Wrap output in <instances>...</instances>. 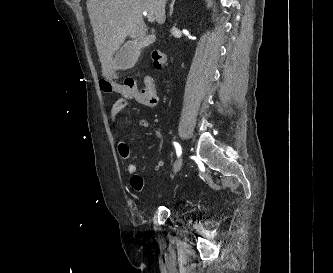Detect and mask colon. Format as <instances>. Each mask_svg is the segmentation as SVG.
Instances as JSON below:
<instances>
[{
    "label": "colon",
    "instance_id": "5ec220e1",
    "mask_svg": "<svg viewBox=\"0 0 333 273\" xmlns=\"http://www.w3.org/2000/svg\"><path fill=\"white\" fill-rule=\"evenodd\" d=\"M153 66L157 71H163L167 68L168 60L163 52L155 51L152 54ZM101 89L108 93H118L123 97H134L137 93V85L133 79L127 78L119 80H103L100 84ZM161 164L157 169L163 174Z\"/></svg>",
    "mask_w": 333,
    "mask_h": 273
}]
</instances>
